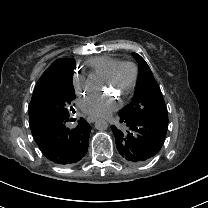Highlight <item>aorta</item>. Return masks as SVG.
I'll use <instances>...</instances> for the list:
<instances>
[{"label": "aorta", "instance_id": "762f6f07", "mask_svg": "<svg viewBox=\"0 0 208 208\" xmlns=\"http://www.w3.org/2000/svg\"><path fill=\"white\" fill-rule=\"evenodd\" d=\"M94 126L98 130H106L108 127V123L104 119H97L94 123Z\"/></svg>", "mask_w": 208, "mask_h": 208}]
</instances>
